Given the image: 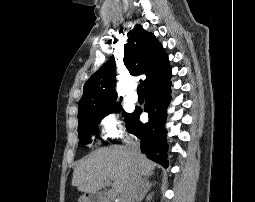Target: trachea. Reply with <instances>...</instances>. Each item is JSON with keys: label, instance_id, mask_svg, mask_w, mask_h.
<instances>
[{"label": "trachea", "instance_id": "1", "mask_svg": "<svg viewBox=\"0 0 255 202\" xmlns=\"http://www.w3.org/2000/svg\"><path fill=\"white\" fill-rule=\"evenodd\" d=\"M137 93L139 95H143V85L142 84H139L138 87H137Z\"/></svg>", "mask_w": 255, "mask_h": 202}]
</instances>
